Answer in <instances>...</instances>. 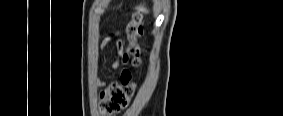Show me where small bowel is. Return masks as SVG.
Masks as SVG:
<instances>
[{
    "instance_id": "c3829d8e",
    "label": "small bowel",
    "mask_w": 283,
    "mask_h": 116,
    "mask_svg": "<svg viewBox=\"0 0 283 116\" xmlns=\"http://www.w3.org/2000/svg\"><path fill=\"white\" fill-rule=\"evenodd\" d=\"M110 45H111V39L107 37L103 39L101 43V48L104 50L109 48ZM116 50H117L116 57L114 58L111 64V67L114 70L119 69L120 65L126 61V56L124 54V50L121 42L116 43ZM128 74H130L128 71L126 70L122 71V75H128Z\"/></svg>"
}]
</instances>
